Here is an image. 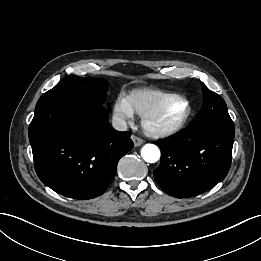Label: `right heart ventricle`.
<instances>
[{"label":"right heart ventricle","instance_id":"right-heart-ventricle-1","mask_svg":"<svg viewBox=\"0 0 261 261\" xmlns=\"http://www.w3.org/2000/svg\"><path fill=\"white\" fill-rule=\"evenodd\" d=\"M170 95L157 89H136L129 94L128 101L135 113L143 115Z\"/></svg>","mask_w":261,"mask_h":261}]
</instances>
